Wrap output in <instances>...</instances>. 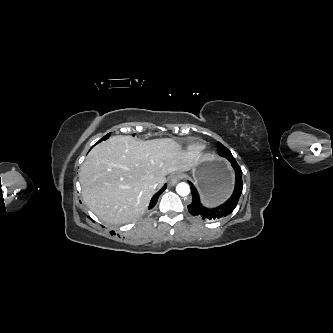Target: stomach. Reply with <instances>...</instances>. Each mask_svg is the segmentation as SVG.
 I'll use <instances>...</instances> for the list:
<instances>
[{"instance_id":"0dacf381","label":"stomach","mask_w":333,"mask_h":333,"mask_svg":"<svg viewBox=\"0 0 333 333\" xmlns=\"http://www.w3.org/2000/svg\"><path fill=\"white\" fill-rule=\"evenodd\" d=\"M192 175L203 202L207 205L220 203L232 190L233 174L226 162L219 157L201 160L192 169Z\"/></svg>"}]
</instances>
